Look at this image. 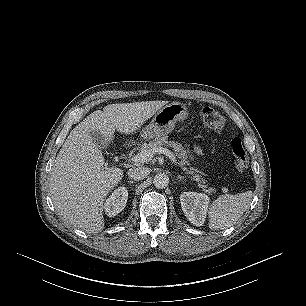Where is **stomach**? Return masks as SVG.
<instances>
[{"mask_svg":"<svg viewBox=\"0 0 306 306\" xmlns=\"http://www.w3.org/2000/svg\"><path fill=\"white\" fill-rule=\"evenodd\" d=\"M188 116L187 107L180 102H172L162 107L153 117L150 124L141 130V137L149 140L171 133L178 120Z\"/></svg>","mask_w":306,"mask_h":306,"instance_id":"stomach-1","label":"stomach"}]
</instances>
